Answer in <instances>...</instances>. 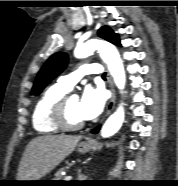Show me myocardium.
<instances>
[{
	"instance_id": "f54148a6",
	"label": "myocardium",
	"mask_w": 178,
	"mask_h": 186,
	"mask_svg": "<svg viewBox=\"0 0 178 186\" xmlns=\"http://www.w3.org/2000/svg\"><path fill=\"white\" fill-rule=\"evenodd\" d=\"M72 97L71 94H64L52 106L50 112V119L52 123L60 130L63 131H77L82 129L86 123H71L67 118V103Z\"/></svg>"
}]
</instances>
